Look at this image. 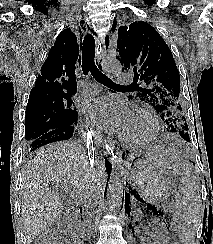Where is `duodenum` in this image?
<instances>
[{"label": "duodenum", "instance_id": "obj_1", "mask_svg": "<svg viewBox=\"0 0 213 244\" xmlns=\"http://www.w3.org/2000/svg\"><path fill=\"white\" fill-rule=\"evenodd\" d=\"M84 238H85L84 234L80 233V234L71 238V243L72 244H84Z\"/></svg>", "mask_w": 213, "mask_h": 244}]
</instances>
